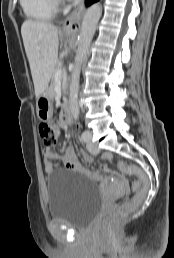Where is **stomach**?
<instances>
[{"label": "stomach", "mask_w": 174, "mask_h": 258, "mask_svg": "<svg viewBox=\"0 0 174 258\" xmlns=\"http://www.w3.org/2000/svg\"><path fill=\"white\" fill-rule=\"evenodd\" d=\"M68 37V35H64ZM37 116L42 121H48L53 114L52 95L47 89L38 99L36 103Z\"/></svg>", "instance_id": "1"}]
</instances>
